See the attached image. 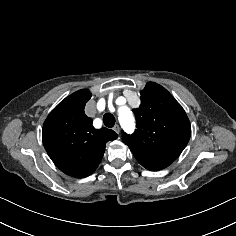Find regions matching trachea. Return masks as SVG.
<instances>
[{
    "instance_id": "obj_1",
    "label": "trachea",
    "mask_w": 236,
    "mask_h": 236,
    "mask_svg": "<svg viewBox=\"0 0 236 236\" xmlns=\"http://www.w3.org/2000/svg\"><path fill=\"white\" fill-rule=\"evenodd\" d=\"M103 123L106 127L112 128L115 124V117L111 113H106L103 116Z\"/></svg>"
}]
</instances>
